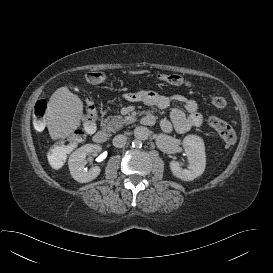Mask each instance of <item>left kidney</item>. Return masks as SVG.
I'll return each mask as SVG.
<instances>
[{"instance_id":"5707ae66","label":"left kidney","mask_w":273,"mask_h":273,"mask_svg":"<svg viewBox=\"0 0 273 273\" xmlns=\"http://www.w3.org/2000/svg\"><path fill=\"white\" fill-rule=\"evenodd\" d=\"M182 145L189 161L188 169H183L177 161L170 162V169L175 177L192 181L203 174L206 167L204 142L199 136L188 135L183 139Z\"/></svg>"}]
</instances>
